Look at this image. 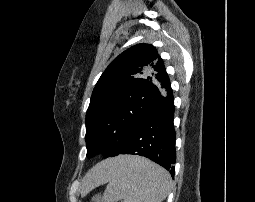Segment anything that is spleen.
<instances>
[{
  "label": "spleen",
  "mask_w": 255,
  "mask_h": 202,
  "mask_svg": "<svg viewBox=\"0 0 255 202\" xmlns=\"http://www.w3.org/2000/svg\"><path fill=\"white\" fill-rule=\"evenodd\" d=\"M118 163L104 166L105 202H162L171 189L169 173L152 161L123 156ZM102 184V183H101Z\"/></svg>",
  "instance_id": "1"
}]
</instances>
